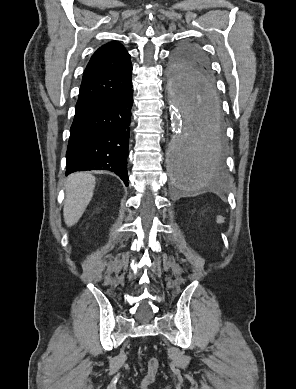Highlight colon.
Listing matches in <instances>:
<instances>
[{
	"label": "colon",
	"mask_w": 296,
	"mask_h": 389,
	"mask_svg": "<svg viewBox=\"0 0 296 389\" xmlns=\"http://www.w3.org/2000/svg\"><path fill=\"white\" fill-rule=\"evenodd\" d=\"M159 363L158 360L154 357L149 358L148 360V370L145 378V384H149L154 379L158 371Z\"/></svg>",
	"instance_id": "5ec220e1"
}]
</instances>
